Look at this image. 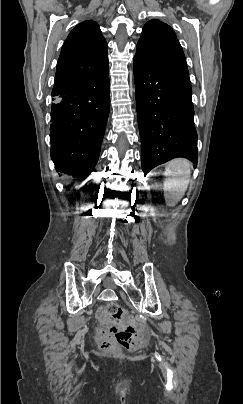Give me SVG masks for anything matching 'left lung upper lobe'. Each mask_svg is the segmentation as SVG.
Instances as JSON below:
<instances>
[{
	"instance_id": "5c2ea615",
	"label": "left lung upper lobe",
	"mask_w": 243,
	"mask_h": 404,
	"mask_svg": "<svg viewBox=\"0 0 243 404\" xmlns=\"http://www.w3.org/2000/svg\"><path fill=\"white\" fill-rule=\"evenodd\" d=\"M135 58L161 70L189 75L182 47L173 29L157 19L147 22Z\"/></svg>"
}]
</instances>
